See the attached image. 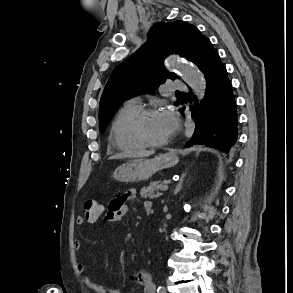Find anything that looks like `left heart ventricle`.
<instances>
[{
    "label": "left heart ventricle",
    "instance_id": "left-heart-ventricle-1",
    "mask_svg": "<svg viewBox=\"0 0 293 293\" xmlns=\"http://www.w3.org/2000/svg\"><path fill=\"white\" fill-rule=\"evenodd\" d=\"M172 126L165 112H156L148 116L143 123V132L152 141H163L172 134Z\"/></svg>",
    "mask_w": 293,
    "mask_h": 293
}]
</instances>
